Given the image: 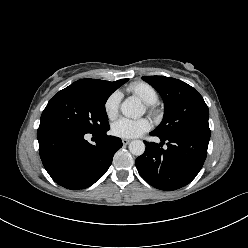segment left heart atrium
<instances>
[{
	"label": "left heart atrium",
	"mask_w": 248,
	"mask_h": 248,
	"mask_svg": "<svg viewBox=\"0 0 248 248\" xmlns=\"http://www.w3.org/2000/svg\"><path fill=\"white\" fill-rule=\"evenodd\" d=\"M151 125L147 119H130L122 117L112 125L114 135L122 138H135L150 129Z\"/></svg>",
	"instance_id": "left-heart-atrium-1"
}]
</instances>
